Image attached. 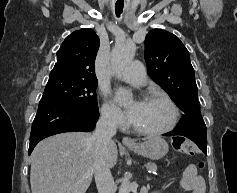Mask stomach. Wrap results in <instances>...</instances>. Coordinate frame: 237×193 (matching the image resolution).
Returning a JSON list of instances; mask_svg holds the SVG:
<instances>
[{"instance_id":"1","label":"stomach","mask_w":237,"mask_h":193,"mask_svg":"<svg viewBox=\"0 0 237 193\" xmlns=\"http://www.w3.org/2000/svg\"><path fill=\"white\" fill-rule=\"evenodd\" d=\"M128 148L136 154L152 160L164 157L169 150L168 143L161 137H151L142 143L128 146Z\"/></svg>"}]
</instances>
